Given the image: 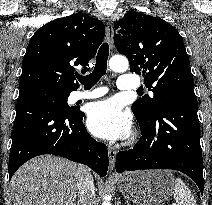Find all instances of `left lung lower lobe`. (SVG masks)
<instances>
[{"instance_id": "0a47b994", "label": "left lung lower lobe", "mask_w": 212, "mask_h": 205, "mask_svg": "<svg viewBox=\"0 0 212 205\" xmlns=\"http://www.w3.org/2000/svg\"><path fill=\"white\" fill-rule=\"evenodd\" d=\"M141 138L133 149L119 152L116 171L174 169L187 174L203 194V160L196 97L181 96L150 120L141 121Z\"/></svg>"}]
</instances>
